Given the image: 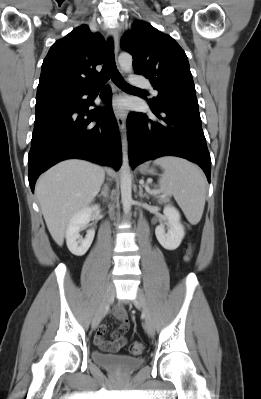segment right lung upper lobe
<instances>
[{
  "instance_id": "cb5924a9",
  "label": "right lung upper lobe",
  "mask_w": 261,
  "mask_h": 399,
  "mask_svg": "<svg viewBox=\"0 0 261 399\" xmlns=\"http://www.w3.org/2000/svg\"><path fill=\"white\" fill-rule=\"evenodd\" d=\"M105 40L100 33H92L87 25L75 28L56 41L45 57L36 105L89 91L86 77L98 74L95 67L103 62Z\"/></svg>"
}]
</instances>
